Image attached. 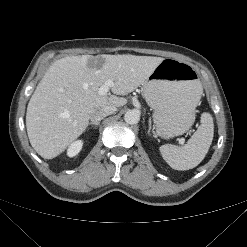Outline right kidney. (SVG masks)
Segmentation results:
<instances>
[{"label": "right kidney", "mask_w": 247, "mask_h": 247, "mask_svg": "<svg viewBox=\"0 0 247 247\" xmlns=\"http://www.w3.org/2000/svg\"><path fill=\"white\" fill-rule=\"evenodd\" d=\"M82 145H83L82 140H78V141L73 142V143L69 146V148H68V150H67V155H68L69 157H74V156H76V155L80 152V150L82 149Z\"/></svg>", "instance_id": "right-kidney-1"}]
</instances>
